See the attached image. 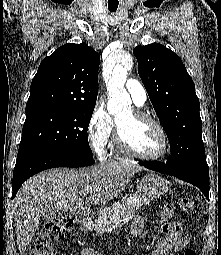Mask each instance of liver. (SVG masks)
I'll list each match as a JSON object with an SVG mask.
<instances>
[{"instance_id":"6515ba94","label":"liver","mask_w":221,"mask_h":255,"mask_svg":"<svg viewBox=\"0 0 221 255\" xmlns=\"http://www.w3.org/2000/svg\"><path fill=\"white\" fill-rule=\"evenodd\" d=\"M142 167L105 162L79 170L55 168L28 179L14 198L17 245L23 255L39 221L48 210L73 212L84 205H102L117 197Z\"/></svg>"}]
</instances>
